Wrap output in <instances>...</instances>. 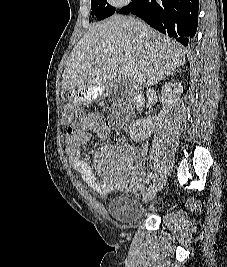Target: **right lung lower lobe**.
I'll return each instance as SVG.
<instances>
[{
  "instance_id": "98d812e1",
  "label": "right lung lower lobe",
  "mask_w": 227,
  "mask_h": 267,
  "mask_svg": "<svg viewBox=\"0 0 227 267\" xmlns=\"http://www.w3.org/2000/svg\"><path fill=\"white\" fill-rule=\"evenodd\" d=\"M199 0H132L120 14H134L156 30L188 46L198 24Z\"/></svg>"
}]
</instances>
